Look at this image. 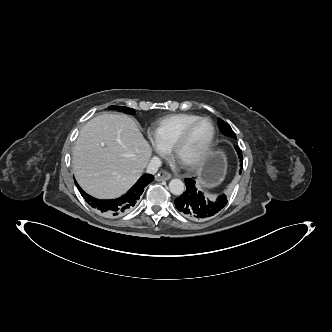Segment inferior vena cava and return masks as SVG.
Returning <instances> with one entry per match:
<instances>
[{"mask_svg": "<svg viewBox=\"0 0 332 332\" xmlns=\"http://www.w3.org/2000/svg\"><path fill=\"white\" fill-rule=\"evenodd\" d=\"M161 164L162 163L160 158L156 156L152 157L149 164L147 165L146 172L149 174H155L158 171Z\"/></svg>", "mask_w": 332, "mask_h": 332, "instance_id": "obj_1", "label": "inferior vena cava"}]
</instances>
